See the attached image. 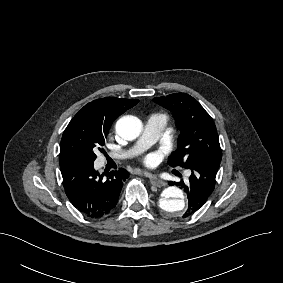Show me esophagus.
I'll use <instances>...</instances> for the list:
<instances>
[{
    "mask_svg": "<svg viewBox=\"0 0 283 283\" xmlns=\"http://www.w3.org/2000/svg\"><path fill=\"white\" fill-rule=\"evenodd\" d=\"M143 175L147 176L150 179V182L152 185L156 187H163L166 185V183L160 179H158L156 176L148 173V172H142Z\"/></svg>",
    "mask_w": 283,
    "mask_h": 283,
    "instance_id": "34e87169",
    "label": "esophagus"
}]
</instances>
